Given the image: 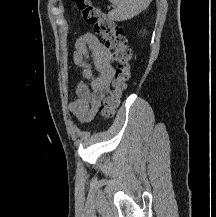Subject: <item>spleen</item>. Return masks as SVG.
<instances>
[{"instance_id":"1","label":"spleen","mask_w":216,"mask_h":217,"mask_svg":"<svg viewBox=\"0 0 216 217\" xmlns=\"http://www.w3.org/2000/svg\"><path fill=\"white\" fill-rule=\"evenodd\" d=\"M116 8L108 17L114 21H125L145 10L152 0H109Z\"/></svg>"}]
</instances>
